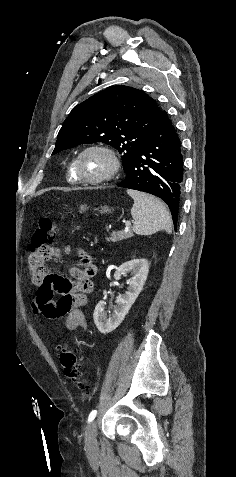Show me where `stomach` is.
I'll return each mask as SVG.
<instances>
[{"instance_id":"0dacf381","label":"stomach","mask_w":236,"mask_h":477,"mask_svg":"<svg viewBox=\"0 0 236 477\" xmlns=\"http://www.w3.org/2000/svg\"><path fill=\"white\" fill-rule=\"evenodd\" d=\"M87 209H88L87 206L82 205V206L80 207V212H84V211H86ZM100 212H101V213L111 212V209H109V207H107V206H104V207H101Z\"/></svg>"}]
</instances>
